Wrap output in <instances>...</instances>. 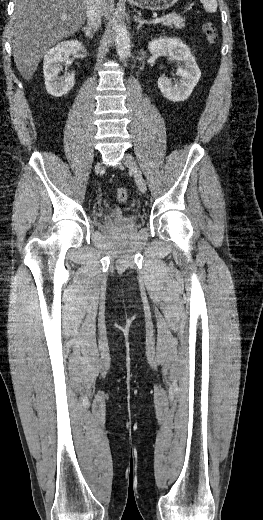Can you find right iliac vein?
<instances>
[{"instance_id": "obj_1", "label": "right iliac vein", "mask_w": 263, "mask_h": 520, "mask_svg": "<svg viewBox=\"0 0 263 520\" xmlns=\"http://www.w3.org/2000/svg\"><path fill=\"white\" fill-rule=\"evenodd\" d=\"M100 169H101V164L98 163V164L95 166V171H96V172H99Z\"/></svg>"}]
</instances>
